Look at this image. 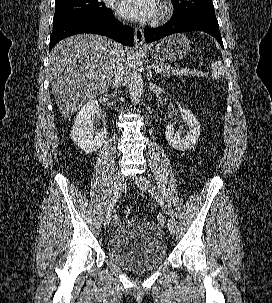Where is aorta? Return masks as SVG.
I'll return each instance as SVG.
<instances>
[{"label": "aorta", "instance_id": "obj_1", "mask_svg": "<svg viewBox=\"0 0 272 303\" xmlns=\"http://www.w3.org/2000/svg\"><path fill=\"white\" fill-rule=\"evenodd\" d=\"M143 93V79L139 71L135 69L132 72L131 80L129 84V94L131 101L134 104H138Z\"/></svg>", "mask_w": 272, "mask_h": 303}]
</instances>
